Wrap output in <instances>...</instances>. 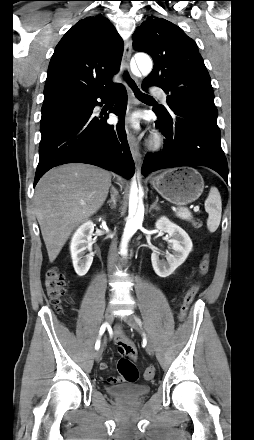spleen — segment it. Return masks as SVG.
Wrapping results in <instances>:
<instances>
[{
  "instance_id": "1",
  "label": "spleen",
  "mask_w": 254,
  "mask_h": 440,
  "mask_svg": "<svg viewBox=\"0 0 254 440\" xmlns=\"http://www.w3.org/2000/svg\"><path fill=\"white\" fill-rule=\"evenodd\" d=\"M205 210L208 213L207 228L210 232H215L221 221L222 201L216 187H211L209 195L205 200ZM176 215L184 220H191V212L186 207L178 208Z\"/></svg>"
}]
</instances>
